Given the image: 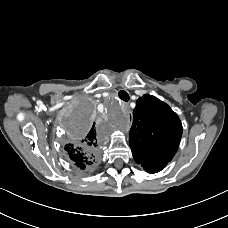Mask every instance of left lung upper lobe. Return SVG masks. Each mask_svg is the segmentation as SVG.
<instances>
[{
    "label": "left lung upper lobe",
    "instance_id": "5c2ea615",
    "mask_svg": "<svg viewBox=\"0 0 228 228\" xmlns=\"http://www.w3.org/2000/svg\"><path fill=\"white\" fill-rule=\"evenodd\" d=\"M178 115L163 101L149 94L136 101L129 143L134 160L142 167L154 159L171 161L182 136Z\"/></svg>",
    "mask_w": 228,
    "mask_h": 228
}]
</instances>
